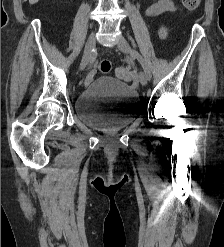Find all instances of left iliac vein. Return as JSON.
Masks as SVG:
<instances>
[{"mask_svg": "<svg viewBox=\"0 0 224 247\" xmlns=\"http://www.w3.org/2000/svg\"><path fill=\"white\" fill-rule=\"evenodd\" d=\"M117 47L120 51L124 52V53H131V47L128 43V41L123 37L120 36L118 38V43H117ZM139 81L142 85H146L147 84V77L146 74L143 71L139 72Z\"/></svg>", "mask_w": 224, "mask_h": 247, "instance_id": "1", "label": "left iliac vein"}]
</instances>
